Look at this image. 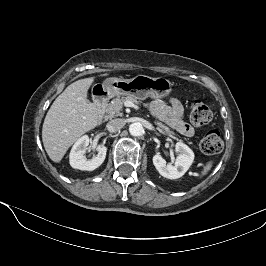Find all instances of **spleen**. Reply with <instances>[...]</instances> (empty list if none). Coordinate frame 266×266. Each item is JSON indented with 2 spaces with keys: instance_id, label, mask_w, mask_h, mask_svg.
<instances>
[{
  "instance_id": "3e777b00",
  "label": "spleen",
  "mask_w": 266,
  "mask_h": 266,
  "mask_svg": "<svg viewBox=\"0 0 266 266\" xmlns=\"http://www.w3.org/2000/svg\"><path fill=\"white\" fill-rule=\"evenodd\" d=\"M212 166H213V161H212V160L208 161V162L205 164V166H204V168H203V171L201 172V175L203 176V175H205L208 171H210L211 168H212Z\"/></svg>"
}]
</instances>
